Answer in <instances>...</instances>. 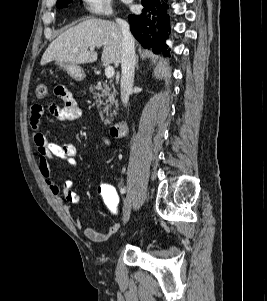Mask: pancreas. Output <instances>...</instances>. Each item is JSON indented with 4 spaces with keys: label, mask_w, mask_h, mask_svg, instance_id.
<instances>
[{
    "label": "pancreas",
    "mask_w": 267,
    "mask_h": 301,
    "mask_svg": "<svg viewBox=\"0 0 267 301\" xmlns=\"http://www.w3.org/2000/svg\"><path fill=\"white\" fill-rule=\"evenodd\" d=\"M90 91L93 93V98L95 99L98 105H104V108L99 111V115L101 117L102 122L105 124H110L111 119H108L109 111L112 106L115 109H118V101L116 100V89L112 81L109 82H98L94 86H90ZM106 114V118L104 117Z\"/></svg>",
    "instance_id": "1"
}]
</instances>
